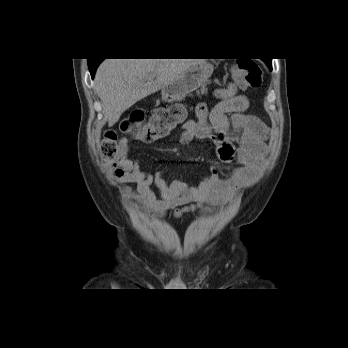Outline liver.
Segmentation results:
<instances>
[{
    "label": "liver",
    "instance_id": "liver-1",
    "mask_svg": "<svg viewBox=\"0 0 348 348\" xmlns=\"http://www.w3.org/2000/svg\"><path fill=\"white\" fill-rule=\"evenodd\" d=\"M199 59H105L95 74V88L105 119L113 126L137 101L162 89Z\"/></svg>",
    "mask_w": 348,
    "mask_h": 348
}]
</instances>
